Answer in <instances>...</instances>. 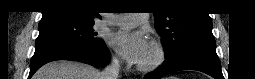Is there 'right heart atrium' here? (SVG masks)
Returning <instances> with one entry per match:
<instances>
[{"label":"right heart atrium","instance_id":"right-heart-atrium-1","mask_svg":"<svg viewBox=\"0 0 255 79\" xmlns=\"http://www.w3.org/2000/svg\"><path fill=\"white\" fill-rule=\"evenodd\" d=\"M112 60L116 63H118L120 61V56L117 53H114L112 55Z\"/></svg>","mask_w":255,"mask_h":79}]
</instances>
